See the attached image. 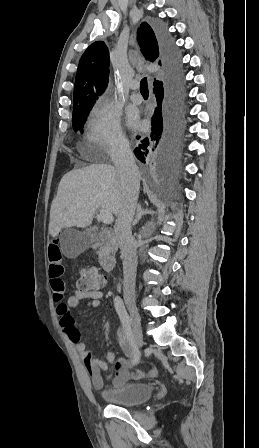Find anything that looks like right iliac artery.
I'll return each instance as SVG.
<instances>
[{
    "instance_id": "right-iliac-artery-1",
    "label": "right iliac artery",
    "mask_w": 259,
    "mask_h": 448,
    "mask_svg": "<svg viewBox=\"0 0 259 448\" xmlns=\"http://www.w3.org/2000/svg\"><path fill=\"white\" fill-rule=\"evenodd\" d=\"M114 306L116 312L121 320L124 332L133 348V365H137L140 362V352L135 343V339L133 336V332L131 329V319L126 311L124 303L119 296H116L114 299Z\"/></svg>"
}]
</instances>
